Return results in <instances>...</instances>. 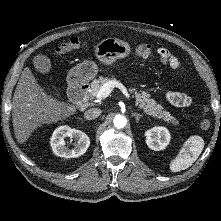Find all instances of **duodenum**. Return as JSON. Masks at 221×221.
Here are the masks:
<instances>
[{
	"label": "duodenum",
	"instance_id": "duodenum-1",
	"mask_svg": "<svg viewBox=\"0 0 221 221\" xmlns=\"http://www.w3.org/2000/svg\"><path fill=\"white\" fill-rule=\"evenodd\" d=\"M88 90L89 85L86 82L75 80L70 84L69 96L80 107H84L87 103Z\"/></svg>",
	"mask_w": 221,
	"mask_h": 221
}]
</instances>
